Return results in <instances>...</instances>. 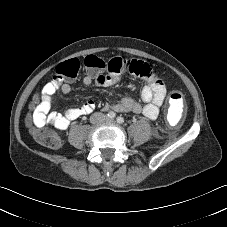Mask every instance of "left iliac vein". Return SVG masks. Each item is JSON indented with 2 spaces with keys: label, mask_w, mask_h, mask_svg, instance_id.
<instances>
[{
  "label": "left iliac vein",
  "mask_w": 227,
  "mask_h": 227,
  "mask_svg": "<svg viewBox=\"0 0 227 227\" xmlns=\"http://www.w3.org/2000/svg\"><path fill=\"white\" fill-rule=\"evenodd\" d=\"M107 122H108V123H113L114 120H112V119H107Z\"/></svg>",
  "instance_id": "obj_1"
}]
</instances>
